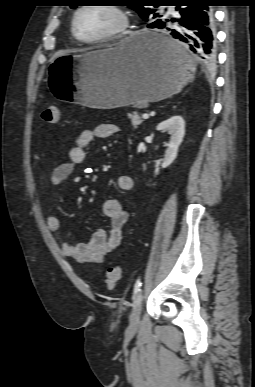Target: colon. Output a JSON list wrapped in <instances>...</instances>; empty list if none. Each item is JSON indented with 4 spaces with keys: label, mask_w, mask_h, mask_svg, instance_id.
Wrapping results in <instances>:
<instances>
[{
    "label": "colon",
    "mask_w": 255,
    "mask_h": 387,
    "mask_svg": "<svg viewBox=\"0 0 255 387\" xmlns=\"http://www.w3.org/2000/svg\"><path fill=\"white\" fill-rule=\"evenodd\" d=\"M41 119L47 123H57L60 120V109L56 105L46 107L41 112ZM122 274V266L115 265L107 269L105 285L108 290H113L119 282Z\"/></svg>",
    "instance_id": "5ec220e1"
}]
</instances>
